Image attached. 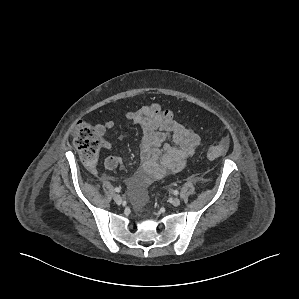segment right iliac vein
<instances>
[{
    "label": "right iliac vein",
    "instance_id": "obj_1",
    "mask_svg": "<svg viewBox=\"0 0 299 299\" xmlns=\"http://www.w3.org/2000/svg\"><path fill=\"white\" fill-rule=\"evenodd\" d=\"M113 198H114V201L118 204H120L122 202V197L119 194H115L113 196Z\"/></svg>",
    "mask_w": 299,
    "mask_h": 299
}]
</instances>
